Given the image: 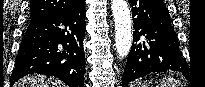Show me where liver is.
Returning a JSON list of instances; mask_svg holds the SVG:
<instances>
[{"label":"liver","instance_id":"liver-1","mask_svg":"<svg viewBox=\"0 0 205 87\" xmlns=\"http://www.w3.org/2000/svg\"><path fill=\"white\" fill-rule=\"evenodd\" d=\"M14 87H65L60 81L40 75L27 76L17 81Z\"/></svg>","mask_w":205,"mask_h":87}]
</instances>
